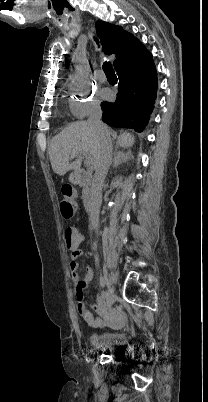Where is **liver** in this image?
<instances>
[{
	"mask_svg": "<svg viewBox=\"0 0 208 402\" xmlns=\"http://www.w3.org/2000/svg\"><path fill=\"white\" fill-rule=\"evenodd\" d=\"M107 132L108 134H105L99 128L89 126L87 122H74L64 128L50 142L49 158L53 172L58 176H64L68 170H79L81 160L69 164V156L72 154L77 156V154L89 152L92 156V164H96L102 140L111 134L109 130ZM118 140L122 148H130L134 144V136L127 132L121 134Z\"/></svg>",
	"mask_w": 208,
	"mask_h": 402,
	"instance_id": "1",
	"label": "liver"
}]
</instances>
